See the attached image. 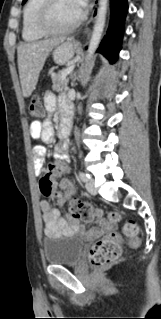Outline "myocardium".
<instances>
[{"label":"myocardium","mask_w":161,"mask_h":319,"mask_svg":"<svg viewBox=\"0 0 161 319\" xmlns=\"http://www.w3.org/2000/svg\"><path fill=\"white\" fill-rule=\"evenodd\" d=\"M56 0H43L36 18L37 28L45 35H63L74 31L84 20L85 12L81 10L79 16L68 26L56 28L50 22L51 12Z\"/></svg>","instance_id":"1"}]
</instances>
